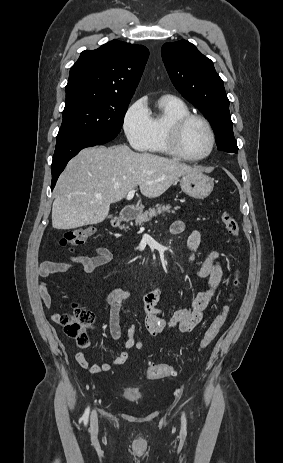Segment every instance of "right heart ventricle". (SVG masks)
I'll return each instance as SVG.
<instances>
[{
	"mask_svg": "<svg viewBox=\"0 0 283 463\" xmlns=\"http://www.w3.org/2000/svg\"><path fill=\"white\" fill-rule=\"evenodd\" d=\"M188 106L174 96H163L158 101V111L150 114L151 133L146 150L168 155L166 134L169 125L179 117L189 114Z\"/></svg>",
	"mask_w": 283,
	"mask_h": 463,
	"instance_id": "e07e8e85",
	"label": "right heart ventricle"
}]
</instances>
